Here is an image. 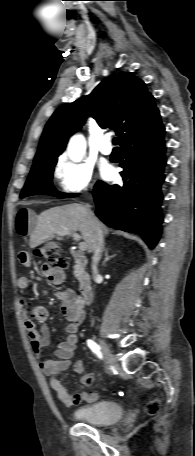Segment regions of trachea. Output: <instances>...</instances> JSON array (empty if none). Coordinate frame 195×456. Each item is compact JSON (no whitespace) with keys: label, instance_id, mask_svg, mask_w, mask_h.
<instances>
[{"label":"trachea","instance_id":"obj_1","mask_svg":"<svg viewBox=\"0 0 195 456\" xmlns=\"http://www.w3.org/2000/svg\"><path fill=\"white\" fill-rule=\"evenodd\" d=\"M118 143H119V138H118V137H115V138L113 139V144H114V145H118Z\"/></svg>","mask_w":195,"mask_h":456}]
</instances>
